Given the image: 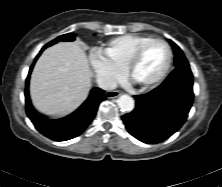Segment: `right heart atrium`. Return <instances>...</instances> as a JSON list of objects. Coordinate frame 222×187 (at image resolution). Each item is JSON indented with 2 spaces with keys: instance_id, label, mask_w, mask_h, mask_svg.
I'll return each instance as SVG.
<instances>
[{
  "instance_id": "obj_1",
  "label": "right heart atrium",
  "mask_w": 222,
  "mask_h": 187,
  "mask_svg": "<svg viewBox=\"0 0 222 187\" xmlns=\"http://www.w3.org/2000/svg\"><path fill=\"white\" fill-rule=\"evenodd\" d=\"M89 58L96 78L102 86H111L119 79L122 70L102 54L92 50Z\"/></svg>"
}]
</instances>
